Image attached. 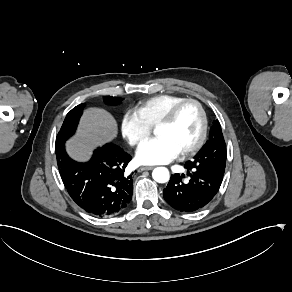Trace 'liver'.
<instances>
[{
	"mask_svg": "<svg viewBox=\"0 0 292 292\" xmlns=\"http://www.w3.org/2000/svg\"><path fill=\"white\" fill-rule=\"evenodd\" d=\"M116 132L115 121L106 111L89 109L82 120L79 138L69 143V152L77 159H85L91 145L114 138Z\"/></svg>",
	"mask_w": 292,
	"mask_h": 292,
	"instance_id": "liver-1",
	"label": "liver"
}]
</instances>
